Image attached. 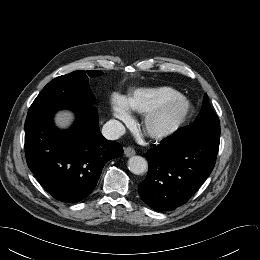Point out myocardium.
I'll use <instances>...</instances> for the list:
<instances>
[{
  "mask_svg": "<svg viewBox=\"0 0 260 260\" xmlns=\"http://www.w3.org/2000/svg\"><path fill=\"white\" fill-rule=\"evenodd\" d=\"M176 102H179L181 106L178 117L172 123L164 127H152L151 123L154 118L157 117L166 107ZM191 109V102L182 94L167 98L144 113L141 121L142 129L152 139L163 140L168 138L182 128L191 113Z\"/></svg>",
  "mask_w": 260,
  "mask_h": 260,
  "instance_id": "obj_1",
  "label": "myocardium"
}]
</instances>
